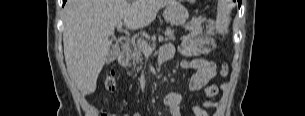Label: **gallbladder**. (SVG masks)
Returning <instances> with one entry per match:
<instances>
[{
  "mask_svg": "<svg viewBox=\"0 0 305 116\" xmlns=\"http://www.w3.org/2000/svg\"><path fill=\"white\" fill-rule=\"evenodd\" d=\"M117 57V49H111L109 51V53L107 54L106 56V62L107 63H110V62H113Z\"/></svg>",
  "mask_w": 305,
  "mask_h": 116,
  "instance_id": "bac80fb5",
  "label": "gallbladder"
}]
</instances>
